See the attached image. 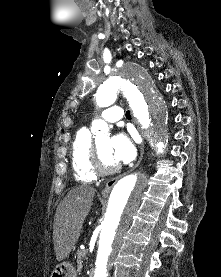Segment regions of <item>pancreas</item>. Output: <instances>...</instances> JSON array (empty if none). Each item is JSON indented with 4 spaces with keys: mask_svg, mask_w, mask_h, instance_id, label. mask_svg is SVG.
Masks as SVG:
<instances>
[{
    "mask_svg": "<svg viewBox=\"0 0 221 277\" xmlns=\"http://www.w3.org/2000/svg\"><path fill=\"white\" fill-rule=\"evenodd\" d=\"M87 255V250H80L78 252V256H77V267L79 270H81L82 268V258L85 257Z\"/></svg>",
    "mask_w": 221,
    "mask_h": 277,
    "instance_id": "obj_1",
    "label": "pancreas"
}]
</instances>
